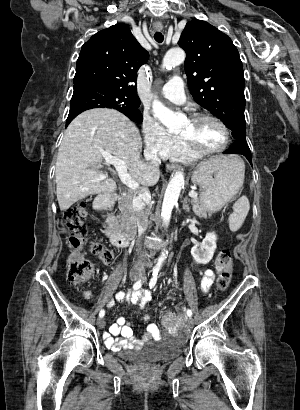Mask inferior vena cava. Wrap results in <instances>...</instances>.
Instances as JSON below:
<instances>
[{"label":"inferior vena cava","instance_id":"inferior-vena-cava-1","mask_svg":"<svg viewBox=\"0 0 300 410\" xmlns=\"http://www.w3.org/2000/svg\"><path fill=\"white\" fill-rule=\"evenodd\" d=\"M146 160H147V163H149L151 166H153L156 169H159V165L161 161L157 157L156 153L154 152L147 153ZM150 200H151V195L147 187L142 188L141 191L138 192V195L133 198V208L137 212V224H138L139 236H141L148 227V216L150 214V207H149ZM149 257H150V254L146 252L140 253L138 255V259L135 263L134 268L144 269L145 261Z\"/></svg>","mask_w":300,"mask_h":410}]
</instances>
